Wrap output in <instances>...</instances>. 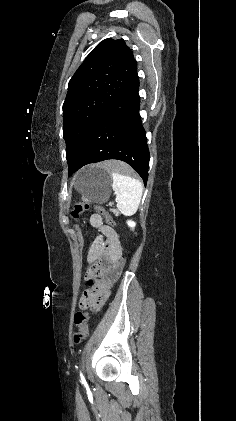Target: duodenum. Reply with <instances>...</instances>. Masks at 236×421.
<instances>
[{"instance_id":"obj_1","label":"duodenum","mask_w":236,"mask_h":421,"mask_svg":"<svg viewBox=\"0 0 236 421\" xmlns=\"http://www.w3.org/2000/svg\"><path fill=\"white\" fill-rule=\"evenodd\" d=\"M96 272L101 279V287L96 290L92 296L97 301H104L107 293L116 277L121 273L123 264L120 257V251L114 247H97Z\"/></svg>"}]
</instances>
